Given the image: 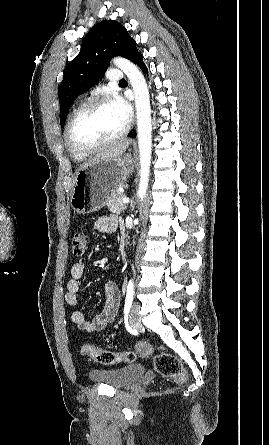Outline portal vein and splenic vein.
Masks as SVG:
<instances>
[{
	"label": "portal vein and splenic vein",
	"instance_id": "1",
	"mask_svg": "<svg viewBox=\"0 0 269 445\" xmlns=\"http://www.w3.org/2000/svg\"><path fill=\"white\" fill-rule=\"evenodd\" d=\"M130 202V200H129V198H127V197H124L123 199H122V203L123 204H128Z\"/></svg>",
	"mask_w": 269,
	"mask_h": 445
}]
</instances>
